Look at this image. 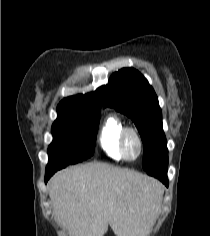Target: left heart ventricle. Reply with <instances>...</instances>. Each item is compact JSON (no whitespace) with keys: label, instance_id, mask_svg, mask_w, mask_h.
<instances>
[{"label":"left heart ventricle","instance_id":"obj_1","mask_svg":"<svg viewBox=\"0 0 210 236\" xmlns=\"http://www.w3.org/2000/svg\"><path fill=\"white\" fill-rule=\"evenodd\" d=\"M127 155L131 158H134L138 153V143L134 136L129 135L126 139L125 144Z\"/></svg>","mask_w":210,"mask_h":236}]
</instances>
